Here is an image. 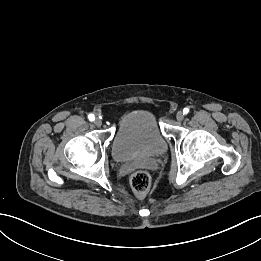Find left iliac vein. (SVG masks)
I'll return each instance as SVG.
<instances>
[{
    "mask_svg": "<svg viewBox=\"0 0 261 261\" xmlns=\"http://www.w3.org/2000/svg\"><path fill=\"white\" fill-rule=\"evenodd\" d=\"M176 118L178 121H182L184 119V113L182 111L177 112Z\"/></svg>",
    "mask_w": 261,
    "mask_h": 261,
    "instance_id": "1",
    "label": "left iliac vein"
}]
</instances>
